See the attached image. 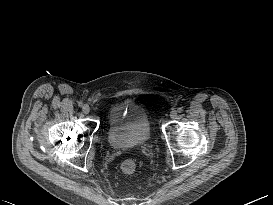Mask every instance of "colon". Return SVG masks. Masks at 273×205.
<instances>
[{
  "mask_svg": "<svg viewBox=\"0 0 273 205\" xmlns=\"http://www.w3.org/2000/svg\"><path fill=\"white\" fill-rule=\"evenodd\" d=\"M121 169L124 174L131 175L136 170V164L132 160H126L122 163Z\"/></svg>",
  "mask_w": 273,
  "mask_h": 205,
  "instance_id": "1",
  "label": "colon"
}]
</instances>
